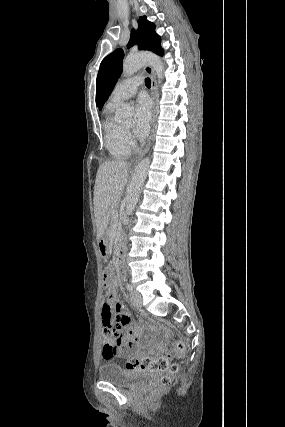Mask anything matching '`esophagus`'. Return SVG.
<instances>
[{"mask_svg":"<svg viewBox=\"0 0 285 427\" xmlns=\"http://www.w3.org/2000/svg\"><path fill=\"white\" fill-rule=\"evenodd\" d=\"M144 71L150 76L151 78V97L153 100V108H152V126H151V133H150V137L149 140L146 144V147L144 148V150L136 157L132 160L131 165L132 166H136L139 161L143 158V156L148 152L154 133H155V127H156V105H157V100H156V79H155V73L154 70L151 66H145L144 67Z\"/></svg>","mask_w":285,"mask_h":427,"instance_id":"34e87169","label":"esophagus"}]
</instances>
